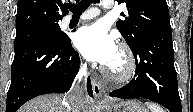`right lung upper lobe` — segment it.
<instances>
[{
  "label": "right lung upper lobe",
  "mask_w": 193,
  "mask_h": 112,
  "mask_svg": "<svg viewBox=\"0 0 193 112\" xmlns=\"http://www.w3.org/2000/svg\"><path fill=\"white\" fill-rule=\"evenodd\" d=\"M67 0H18L16 29L57 25L68 14Z\"/></svg>",
  "instance_id": "cb5924a9"
}]
</instances>
